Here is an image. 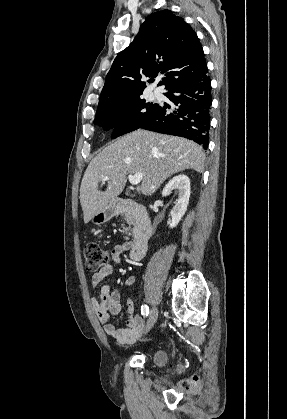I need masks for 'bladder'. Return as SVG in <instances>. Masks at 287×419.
Wrapping results in <instances>:
<instances>
[{"label": "bladder", "instance_id": "bladder-1", "mask_svg": "<svg viewBox=\"0 0 287 419\" xmlns=\"http://www.w3.org/2000/svg\"><path fill=\"white\" fill-rule=\"evenodd\" d=\"M152 359L158 364H164L167 361V354L164 350H156L153 353Z\"/></svg>", "mask_w": 287, "mask_h": 419}]
</instances>
